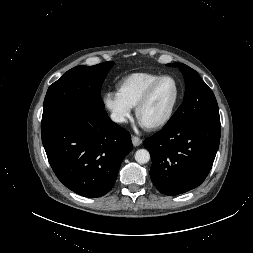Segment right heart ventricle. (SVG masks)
I'll return each instance as SVG.
<instances>
[{
	"label": "right heart ventricle",
	"instance_id": "right-heart-ventricle-1",
	"mask_svg": "<svg viewBox=\"0 0 253 253\" xmlns=\"http://www.w3.org/2000/svg\"><path fill=\"white\" fill-rule=\"evenodd\" d=\"M160 76V74L150 72L129 74L116 84V95L129 108H135L147 88Z\"/></svg>",
	"mask_w": 253,
	"mask_h": 253
}]
</instances>
